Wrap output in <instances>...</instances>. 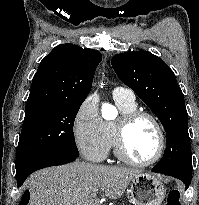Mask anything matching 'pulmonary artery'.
Here are the masks:
<instances>
[{
	"label": "pulmonary artery",
	"mask_w": 199,
	"mask_h": 205,
	"mask_svg": "<svg viewBox=\"0 0 199 205\" xmlns=\"http://www.w3.org/2000/svg\"><path fill=\"white\" fill-rule=\"evenodd\" d=\"M113 95L115 98H123L129 101L135 100L134 93L132 90L124 87L115 88Z\"/></svg>",
	"instance_id": "e3ab8cb5"
}]
</instances>
